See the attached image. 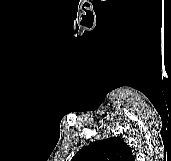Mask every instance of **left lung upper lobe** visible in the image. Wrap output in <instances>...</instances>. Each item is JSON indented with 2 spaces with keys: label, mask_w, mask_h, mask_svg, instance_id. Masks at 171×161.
Masks as SVG:
<instances>
[{
  "label": "left lung upper lobe",
  "mask_w": 171,
  "mask_h": 161,
  "mask_svg": "<svg viewBox=\"0 0 171 161\" xmlns=\"http://www.w3.org/2000/svg\"><path fill=\"white\" fill-rule=\"evenodd\" d=\"M130 147L118 137L90 143L80 149L71 161H134Z\"/></svg>",
  "instance_id": "1"
}]
</instances>
